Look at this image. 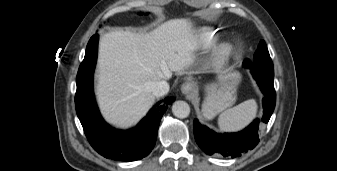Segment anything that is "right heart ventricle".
<instances>
[{
	"label": "right heart ventricle",
	"mask_w": 337,
	"mask_h": 171,
	"mask_svg": "<svg viewBox=\"0 0 337 171\" xmlns=\"http://www.w3.org/2000/svg\"><path fill=\"white\" fill-rule=\"evenodd\" d=\"M205 32H206V30H205ZM204 42H205L206 46H209V47L213 46L215 44V38L212 35L205 33Z\"/></svg>",
	"instance_id": "obj_1"
}]
</instances>
